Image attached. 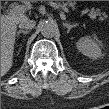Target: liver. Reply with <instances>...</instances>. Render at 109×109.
Masks as SVG:
<instances>
[{
    "mask_svg": "<svg viewBox=\"0 0 109 109\" xmlns=\"http://www.w3.org/2000/svg\"><path fill=\"white\" fill-rule=\"evenodd\" d=\"M27 19L24 14L2 15L1 17V74L12 67L13 50L17 25Z\"/></svg>",
    "mask_w": 109,
    "mask_h": 109,
    "instance_id": "1",
    "label": "liver"
}]
</instances>
